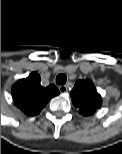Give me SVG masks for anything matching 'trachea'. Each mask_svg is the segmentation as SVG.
Returning a JSON list of instances; mask_svg holds the SVG:
<instances>
[{"instance_id": "1", "label": "trachea", "mask_w": 122, "mask_h": 154, "mask_svg": "<svg viewBox=\"0 0 122 154\" xmlns=\"http://www.w3.org/2000/svg\"><path fill=\"white\" fill-rule=\"evenodd\" d=\"M67 81V76L63 73L59 74L57 77H56V83L59 84V85H64Z\"/></svg>"}]
</instances>
